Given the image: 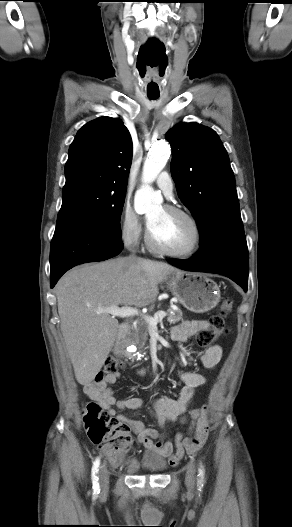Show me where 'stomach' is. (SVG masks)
I'll list each match as a JSON object with an SVG mask.
<instances>
[{
    "mask_svg": "<svg viewBox=\"0 0 292 527\" xmlns=\"http://www.w3.org/2000/svg\"><path fill=\"white\" fill-rule=\"evenodd\" d=\"M167 284L177 300L191 312L205 313L219 303L218 285L202 273L176 272Z\"/></svg>",
    "mask_w": 292,
    "mask_h": 527,
    "instance_id": "obj_1",
    "label": "stomach"
}]
</instances>
